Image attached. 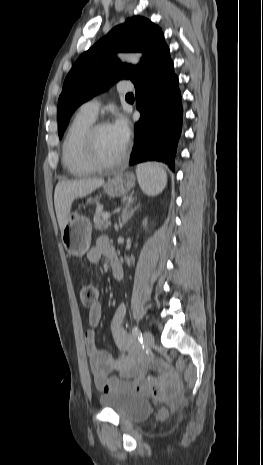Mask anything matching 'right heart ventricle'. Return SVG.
<instances>
[{
	"label": "right heart ventricle",
	"instance_id": "1",
	"mask_svg": "<svg viewBox=\"0 0 263 465\" xmlns=\"http://www.w3.org/2000/svg\"><path fill=\"white\" fill-rule=\"evenodd\" d=\"M94 118L77 113L69 124L62 143V163L73 176H87L96 171L85 159L82 138Z\"/></svg>",
	"mask_w": 263,
	"mask_h": 465
}]
</instances>
